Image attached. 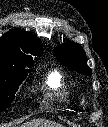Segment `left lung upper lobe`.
<instances>
[{
	"instance_id": "5c2ea615",
	"label": "left lung upper lobe",
	"mask_w": 108,
	"mask_h": 127,
	"mask_svg": "<svg viewBox=\"0 0 108 127\" xmlns=\"http://www.w3.org/2000/svg\"><path fill=\"white\" fill-rule=\"evenodd\" d=\"M56 57L68 68L91 75V69L87 66V59L81 45L68 42L56 50Z\"/></svg>"
}]
</instances>
